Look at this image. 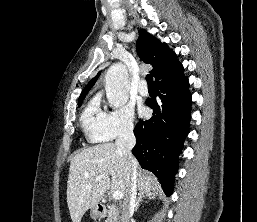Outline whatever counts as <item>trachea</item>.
I'll return each instance as SVG.
<instances>
[{"label":"trachea","mask_w":257,"mask_h":222,"mask_svg":"<svg viewBox=\"0 0 257 222\" xmlns=\"http://www.w3.org/2000/svg\"><path fill=\"white\" fill-rule=\"evenodd\" d=\"M146 81H147V84H148V87L149 88H153L154 87V82H153V76L148 74L146 76Z\"/></svg>","instance_id":"1"}]
</instances>
